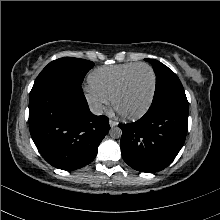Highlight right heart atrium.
<instances>
[{"label":"right heart atrium","mask_w":220,"mask_h":220,"mask_svg":"<svg viewBox=\"0 0 220 220\" xmlns=\"http://www.w3.org/2000/svg\"><path fill=\"white\" fill-rule=\"evenodd\" d=\"M85 98L88 104L90 105V107L93 109V111L97 113L104 111L109 104V101L107 98L95 92L90 87L86 88Z\"/></svg>","instance_id":"right-heart-atrium-1"}]
</instances>
